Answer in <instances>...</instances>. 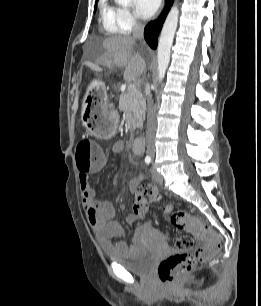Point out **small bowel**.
Here are the masks:
<instances>
[{
  "label": "small bowel",
  "instance_id": "small-bowel-1",
  "mask_svg": "<svg viewBox=\"0 0 261 306\" xmlns=\"http://www.w3.org/2000/svg\"><path fill=\"white\" fill-rule=\"evenodd\" d=\"M125 145L122 141H117L112 147V163L118 161V156L124 151ZM104 159L99 165L79 174V186L81 192L82 204L87 216V220L94 230L98 243L103 251L107 253L126 254L129 247L122 240L124 236L123 228L114 221L115 208L109 201H102L96 198L95 190L90 183V173L98 172L106 166ZM142 183L140 176L135 177L129 184L130 191L137 196V191ZM136 214H129L126 217L128 223L137 221Z\"/></svg>",
  "mask_w": 261,
  "mask_h": 306
}]
</instances>
